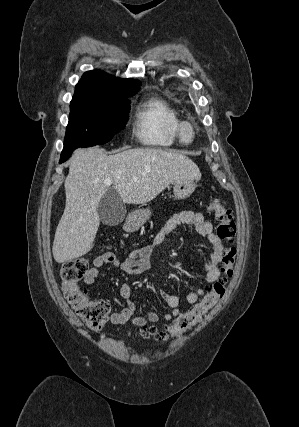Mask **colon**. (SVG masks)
I'll list each match as a JSON object with an SVG mask.
<instances>
[{"label": "colon", "instance_id": "1", "mask_svg": "<svg viewBox=\"0 0 299 427\" xmlns=\"http://www.w3.org/2000/svg\"><path fill=\"white\" fill-rule=\"evenodd\" d=\"M209 209L214 213L218 222L217 236L229 244L222 261L223 276L213 284L202 300L191 310L180 314L173 323L162 330L155 327H144L140 331V336L166 340L182 335L202 323L209 311L224 296L228 281L234 273L237 249L233 244L236 240L237 227L232 211L224 206L221 198L214 197L209 204ZM89 266V260L84 257L65 261L60 271L62 291L83 323L90 330L100 332L107 321L110 305L105 301L89 299L85 291L81 289L79 283L88 273Z\"/></svg>", "mask_w": 299, "mask_h": 427}]
</instances>
